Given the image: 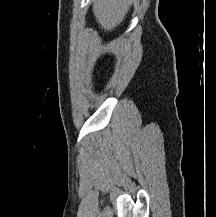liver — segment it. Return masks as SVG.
<instances>
[{
	"mask_svg": "<svg viewBox=\"0 0 216 217\" xmlns=\"http://www.w3.org/2000/svg\"><path fill=\"white\" fill-rule=\"evenodd\" d=\"M131 0H93V13L101 27L113 30L125 18Z\"/></svg>",
	"mask_w": 216,
	"mask_h": 217,
	"instance_id": "1",
	"label": "liver"
}]
</instances>
